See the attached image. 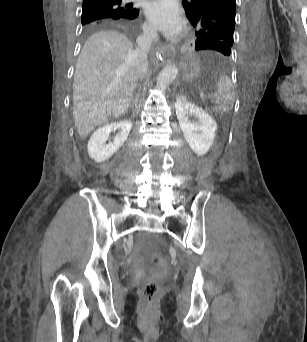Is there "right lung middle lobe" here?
Masks as SVG:
<instances>
[{"mask_svg": "<svg viewBox=\"0 0 307 342\" xmlns=\"http://www.w3.org/2000/svg\"><path fill=\"white\" fill-rule=\"evenodd\" d=\"M114 12L106 9H88L82 11L81 23L86 24L97 19L105 18L113 15Z\"/></svg>", "mask_w": 307, "mask_h": 342, "instance_id": "obj_1", "label": "right lung middle lobe"}]
</instances>
